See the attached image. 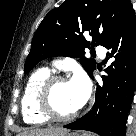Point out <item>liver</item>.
Segmentation results:
<instances>
[{"instance_id":"liver-1","label":"liver","mask_w":136,"mask_h":136,"mask_svg":"<svg viewBox=\"0 0 136 136\" xmlns=\"http://www.w3.org/2000/svg\"><path fill=\"white\" fill-rule=\"evenodd\" d=\"M62 132H68V130L60 127H49L46 129H31L20 133L18 136H55Z\"/></svg>"}]
</instances>
